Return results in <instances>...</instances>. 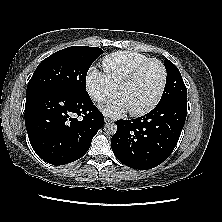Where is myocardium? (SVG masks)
<instances>
[{
    "label": "myocardium",
    "instance_id": "obj_1",
    "mask_svg": "<svg viewBox=\"0 0 222 222\" xmlns=\"http://www.w3.org/2000/svg\"><path fill=\"white\" fill-rule=\"evenodd\" d=\"M155 62L157 63L161 70H162V81H161V85L159 88L158 93L156 94V96L154 97V99L149 102L147 105H145L142 108L139 109H132L129 110V112L132 115L138 116V115H144L146 113H148L149 111H151L161 100L163 93L165 91V87H166V83H167V70L165 65L163 64L162 61H160L159 59L156 58H149L143 62H141L140 64H138L123 80L122 82L118 85V93L121 92V90L127 86L128 84H130L131 82H133L136 77L138 76V74L140 73V71L149 63Z\"/></svg>",
    "mask_w": 222,
    "mask_h": 222
}]
</instances>
